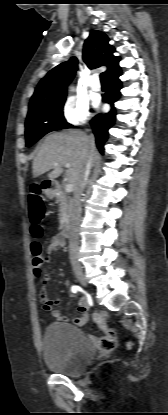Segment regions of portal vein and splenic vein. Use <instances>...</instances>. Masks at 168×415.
Masks as SVG:
<instances>
[{"label": "portal vein and splenic vein", "instance_id": "obj_1", "mask_svg": "<svg viewBox=\"0 0 168 415\" xmlns=\"http://www.w3.org/2000/svg\"><path fill=\"white\" fill-rule=\"evenodd\" d=\"M55 165H57V164H55ZM69 166H70L69 164L65 165V167H69ZM72 190H73V185L72 184L68 183V184L65 185V191L66 192H71Z\"/></svg>", "mask_w": 168, "mask_h": 415}]
</instances>
